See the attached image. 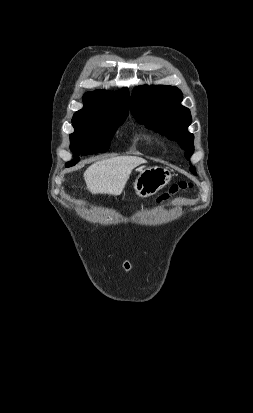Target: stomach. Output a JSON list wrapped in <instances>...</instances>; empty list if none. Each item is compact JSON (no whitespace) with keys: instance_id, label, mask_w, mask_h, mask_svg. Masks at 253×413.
<instances>
[{"instance_id":"stomach-1","label":"stomach","mask_w":253,"mask_h":413,"mask_svg":"<svg viewBox=\"0 0 253 413\" xmlns=\"http://www.w3.org/2000/svg\"><path fill=\"white\" fill-rule=\"evenodd\" d=\"M171 177V172L163 167L141 169L134 182L136 194L142 198L154 195L170 182Z\"/></svg>"}]
</instances>
